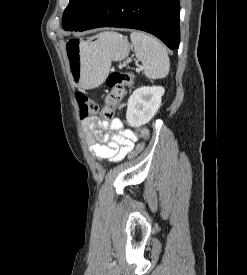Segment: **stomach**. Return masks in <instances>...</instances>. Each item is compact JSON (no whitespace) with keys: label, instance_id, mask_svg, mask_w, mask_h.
Wrapping results in <instances>:
<instances>
[{"label":"stomach","instance_id":"1","mask_svg":"<svg viewBox=\"0 0 247 275\" xmlns=\"http://www.w3.org/2000/svg\"><path fill=\"white\" fill-rule=\"evenodd\" d=\"M104 36L102 41H67L68 72L77 87L91 89L100 85L109 73L111 62L128 56L130 44L126 37L115 32L104 33Z\"/></svg>","mask_w":247,"mask_h":275}]
</instances>
